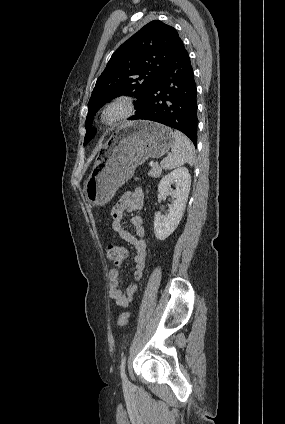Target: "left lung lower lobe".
Instances as JSON below:
<instances>
[{"label":"left lung lower lobe","mask_w":285,"mask_h":424,"mask_svg":"<svg viewBox=\"0 0 285 424\" xmlns=\"http://www.w3.org/2000/svg\"><path fill=\"white\" fill-rule=\"evenodd\" d=\"M197 88L188 52L180 39L168 64L133 120H150L175 128L196 146Z\"/></svg>","instance_id":"1"}]
</instances>
